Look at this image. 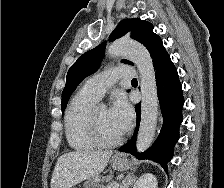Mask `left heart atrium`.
Masks as SVG:
<instances>
[{
    "label": "left heart atrium",
    "mask_w": 224,
    "mask_h": 188,
    "mask_svg": "<svg viewBox=\"0 0 224 188\" xmlns=\"http://www.w3.org/2000/svg\"><path fill=\"white\" fill-rule=\"evenodd\" d=\"M109 113L122 133L128 129L133 119V110L123 95L116 97Z\"/></svg>",
    "instance_id": "left-heart-atrium-1"
}]
</instances>
